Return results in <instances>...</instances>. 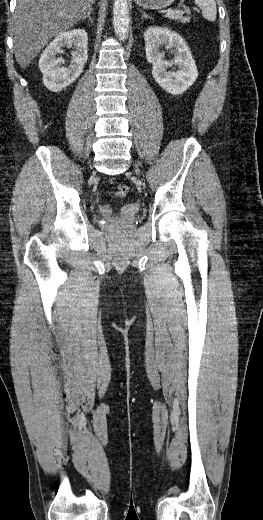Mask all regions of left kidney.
<instances>
[{
	"mask_svg": "<svg viewBox=\"0 0 263 520\" xmlns=\"http://www.w3.org/2000/svg\"><path fill=\"white\" fill-rule=\"evenodd\" d=\"M146 58L152 63V75L165 91L173 95L184 93L197 79L198 71L184 39L176 32L162 27H150L144 33ZM176 48L172 61H165L160 48ZM178 67L176 72L166 68Z\"/></svg>",
	"mask_w": 263,
	"mask_h": 520,
	"instance_id": "obj_1",
	"label": "left kidney"
}]
</instances>
